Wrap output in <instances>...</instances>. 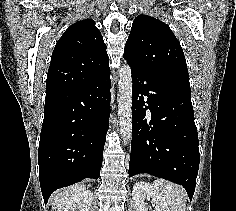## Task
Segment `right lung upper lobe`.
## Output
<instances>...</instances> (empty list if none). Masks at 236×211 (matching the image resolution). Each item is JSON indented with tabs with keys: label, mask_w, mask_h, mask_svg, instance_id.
I'll list each match as a JSON object with an SVG mask.
<instances>
[{
	"label": "right lung upper lobe",
	"mask_w": 236,
	"mask_h": 211,
	"mask_svg": "<svg viewBox=\"0 0 236 211\" xmlns=\"http://www.w3.org/2000/svg\"><path fill=\"white\" fill-rule=\"evenodd\" d=\"M110 71L106 45L91 19L71 25L53 50L46 93L80 86Z\"/></svg>",
	"instance_id": "cb5924a9"
}]
</instances>
